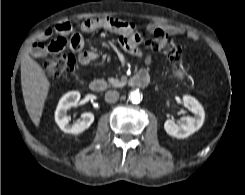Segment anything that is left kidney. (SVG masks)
Returning <instances> with one entry per match:
<instances>
[{
	"instance_id": "obj_1",
	"label": "left kidney",
	"mask_w": 245,
	"mask_h": 195,
	"mask_svg": "<svg viewBox=\"0 0 245 195\" xmlns=\"http://www.w3.org/2000/svg\"><path fill=\"white\" fill-rule=\"evenodd\" d=\"M184 106L189 109L195 116L182 117V123L177 125L173 120H166L164 122V129L168 135L184 139L198 131L204 122L205 112L202 105L192 96L183 97Z\"/></svg>"
}]
</instances>
